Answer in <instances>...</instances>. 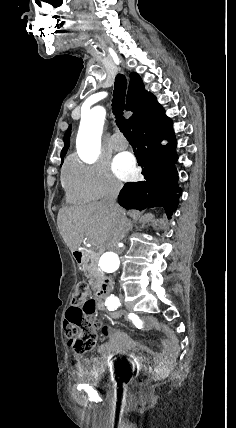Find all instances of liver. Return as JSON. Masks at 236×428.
<instances>
[{"instance_id":"liver-1","label":"liver","mask_w":236,"mask_h":428,"mask_svg":"<svg viewBox=\"0 0 236 428\" xmlns=\"http://www.w3.org/2000/svg\"><path fill=\"white\" fill-rule=\"evenodd\" d=\"M154 218L153 214H144L140 222H153ZM57 224L70 252H76L84 238H88L92 246H101L105 250L117 248L126 232L133 226L131 220L125 216L119 218L104 202H92L87 206H71L59 210Z\"/></svg>"}]
</instances>
